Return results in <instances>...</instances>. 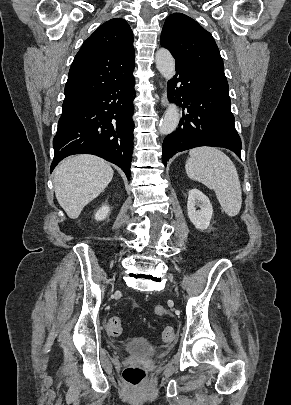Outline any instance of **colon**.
<instances>
[{"label": "colon", "instance_id": "obj_1", "mask_svg": "<svg viewBox=\"0 0 291 405\" xmlns=\"http://www.w3.org/2000/svg\"><path fill=\"white\" fill-rule=\"evenodd\" d=\"M155 313L158 316H165L168 314L167 310L163 306H156ZM122 323L119 317H113L109 320L108 323V331L109 334L113 337H118L122 333ZM176 337L175 330L172 327H166L162 332V340L165 343H170L174 341ZM146 377L145 369L140 365H131L124 369L123 371V379L131 384V385H138L140 384Z\"/></svg>", "mask_w": 291, "mask_h": 405}]
</instances>
